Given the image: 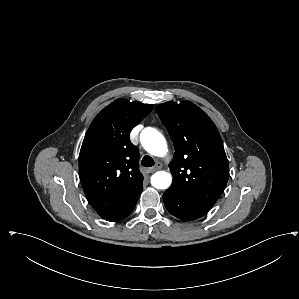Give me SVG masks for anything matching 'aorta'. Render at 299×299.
<instances>
[{
  "label": "aorta",
  "instance_id": "obj_1",
  "mask_svg": "<svg viewBox=\"0 0 299 299\" xmlns=\"http://www.w3.org/2000/svg\"><path fill=\"white\" fill-rule=\"evenodd\" d=\"M140 141L144 149L154 156L162 157L167 152L165 138L154 128H144L140 134ZM171 182V174L165 171H158L151 177V184L156 189H167L171 185Z\"/></svg>",
  "mask_w": 299,
  "mask_h": 299
}]
</instances>
